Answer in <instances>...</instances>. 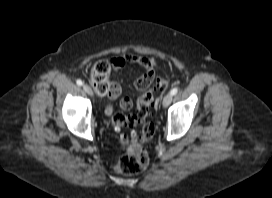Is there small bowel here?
Listing matches in <instances>:
<instances>
[{
    "instance_id": "small-bowel-1",
    "label": "small bowel",
    "mask_w": 272,
    "mask_h": 198,
    "mask_svg": "<svg viewBox=\"0 0 272 198\" xmlns=\"http://www.w3.org/2000/svg\"><path fill=\"white\" fill-rule=\"evenodd\" d=\"M126 63L136 64L140 67H142L145 72L144 74L136 80L135 86L138 80L144 79V78H155V66L152 60L149 58L142 56V55H136V54H125L121 57L115 58L112 61V64L115 69H121L123 68ZM137 87V86H136ZM138 88V87H137ZM140 89V88H138ZM144 90V89H140ZM121 93V87L117 83H113L112 86V92L107 95L108 103L105 107V114L110 116L113 113V106L111 104V101L116 100ZM147 92H145L143 95H145ZM120 107L123 110H129L132 107V100L129 97H124L120 100Z\"/></svg>"
}]
</instances>
